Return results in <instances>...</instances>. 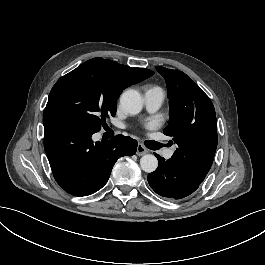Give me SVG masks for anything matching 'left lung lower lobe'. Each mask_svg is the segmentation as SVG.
Masks as SVG:
<instances>
[{"label":"left lung lower lobe","instance_id":"1","mask_svg":"<svg viewBox=\"0 0 265 265\" xmlns=\"http://www.w3.org/2000/svg\"><path fill=\"white\" fill-rule=\"evenodd\" d=\"M159 166L156 171L148 175L150 187L160 196L170 199H182L193 193L203 179L187 170L179 162L164 158L154 153Z\"/></svg>","mask_w":265,"mask_h":265}]
</instances>
